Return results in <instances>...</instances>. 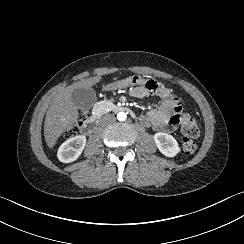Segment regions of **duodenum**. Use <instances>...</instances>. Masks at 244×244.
<instances>
[{"instance_id":"obj_1","label":"duodenum","mask_w":244,"mask_h":244,"mask_svg":"<svg viewBox=\"0 0 244 244\" xmlns=\"http://www.w3.org/2000/svg\"><path fill=\"white\" fill-rule=\"evenodd\" d=\"M117 110H124V111H129V109H127L124 105H117L116 106ZM129 113L132 114L131 111H129ZM100 116V113H94L92 114L81 126V132L85 135H90L96 126V122L98 120Z\"/></svg>"}]
</instances>
